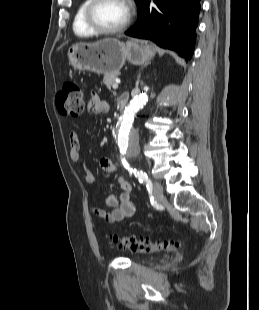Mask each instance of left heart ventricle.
<instances>
[{
  "label": "left heart ventricle",
  "instance_id": "b2bd125f",
  "mask_svg": "<svg viewBox=\"0 0 259 310\" xmlns=\"http://www.w3.org/2000/svg\"><path fill=\"white\" fill-rule=\"evenodd\" d=\"M127 15L128 7L121 0H102L94 10L95 21L106 28L120 26Z\"/></svg>",
  "mask_w": 259,
  "mask_h": 310
}]
</instances>
